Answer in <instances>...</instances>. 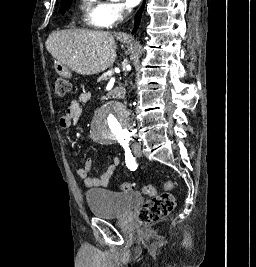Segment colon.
Masks as SVG:
<instances>
[{
	"label": "colon",
	"mask_w": 256,
	"mask_h": 267,
	"mask_svg": "<svg viewBox=\"0 0 256 267\" xmlns=\"http://www.w3.org/2000/svg\"><path fill=\"white\" fill-rule=\"evenodd\" d=\"M55 91L59 96H64L71 91V83L69 77H56ZM173 188V183L167 181L164 185L165 190ZM119 189L121 191H134L136 189L135 183L123 182L120 183ZM143 192L151 197L138 211V220L141 224H149L150 222H157L158 220L171 214L175 208V201L170 196V193H156L155 188L150 185H145Z\"/></svg>",
	"instance_id": "colon-1"
}]
</instances>
